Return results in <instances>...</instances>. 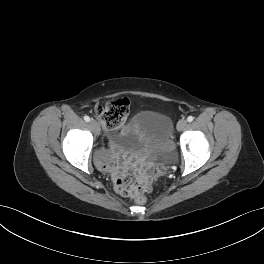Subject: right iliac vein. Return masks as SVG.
<instances>
[{"mask_svg":"<svg viewBox=\"0 0 264 264\" xmlns=\"http://www.w3.org/2000/svg\"><path fill=\"white\" fill-rule=\"evenodd\" d=\"M90 125L93 128L95 134L99 135L100 134V126H99V124L95 120H92L90 122Z\"/></svg>","mask_w":264,"mask_h":264,"instance_id":"right-iliac-vein-1","label":"right iliac vein"}]
</instances>
